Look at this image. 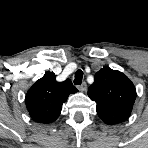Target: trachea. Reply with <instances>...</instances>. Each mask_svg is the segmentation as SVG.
I'll return each mask as SVG.
<instances>
[{
    "label": "trachea",
    "instance_id": "trachea-1",
    "mask_svg": "<svg viewBox=\"0 0 148 148\" xmlns=\"http://www.w3.org/2000/svg\"><path fill=\"white\" fill-rule=\"evenodd\" d=\"M82 79H83V72H82V70L78 69V70L75 72L74 84H76V85H81Z\"/></svg>",
    "mask_w": 148,
    "mask_h": 148
}]
</instances>
